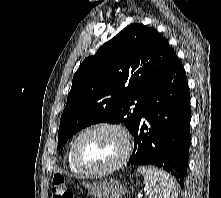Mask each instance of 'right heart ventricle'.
Segmentation results:
<instances>
[{
  "mask_svg": "<svg viewBox=\"0 0 221 198\" xmlns=\"http://www.w3.org/2000/svg\"><path fill=\"white\" fill-rule=\"evenodd\" d=\"M72 144V143H71ZM71 144L67 150V164L70 168V170L74 173H81L76 166L74 165L73 161H72V157H71Z\"/></svg>",
  "mask_w": 221,
  "mask_h": 198,
  "instance_id": "e07e8e85",
  "label": "right heart ventricle"
}]
</instances>
